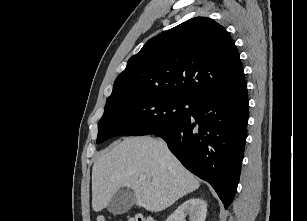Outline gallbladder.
Returning a JSON list of instances; mask_svg holds the SVG:
<instances>
[{"mask_svg": "<svg viewBox=\"0 0 307 221\" xmlns=\"http://www.w3.org/2000/svg\"><path fill=\"white\" fill-rule=\"evenodd\" d=\"M134 202V192L128 188H122L113 195L107 209L114 215L124 214L133 206Z\"/></svg>", "mask_w": 307, "mask_h": 221, "instance_id": "gallbladder-1", "label": "gallbladder"}]
</instances>
